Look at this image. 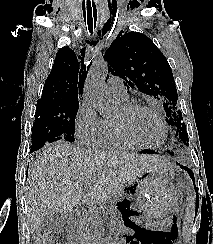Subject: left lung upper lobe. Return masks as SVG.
<instances>
[{
	"label": "left lung upper lobe",
	"mask_w": 213,
	"mask_h": 244,
	"mask_svg": "<svg viewBox=\"0 0 213 244\" xmlns=\"http://www.w3.org/2000/svg\"><path fill=\"white\" fill-rule=\"evenodd\" d=\"M104 59L110 64L111 73L124 79L126 85L163 104L167 123L176 137L188 145L171 68L153 41L139 32L121 31L106 50Z\"/></svg>",
	"instance_id": "obj_1"
}]
</instances>
